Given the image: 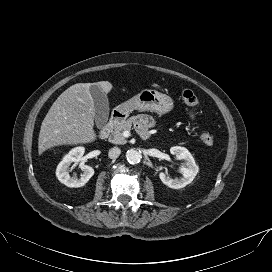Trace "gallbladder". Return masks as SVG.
<instances>
[{"instance_id": "obj_1", "label": "gallbladder", "mask_w": 272, "mask_h": 272, "mask_svg": "<svg viewBox=\"0 0 272 272\" xmlns=\"http://www.w3.org/2000/svg\"><path fill=\"white\" fill-rule=\"evenodd\" d=\"M90 93L95 105V122L97 127L101 129L109 117V101L106 94L95 83L90 86Z\"/></svg>"}]
</instances>
